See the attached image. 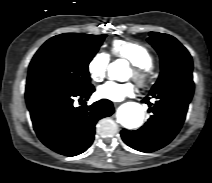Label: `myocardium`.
<instances>
[{"label":"myocardium","mask_w":212,"mask_h":183,"mask_svg":"<svg viewBox=\"0 0 212 183\" xmlns=\"http://www.w3.org/2000/svg\"><path fill=\"white\" fill-rule=\"evenodd\" d=\"M132 73H133L134 80L140 86H144L147 83V81H148V78L150 76L151 70L148 67H142V66L133 64Z\"/></svg>","instance_id":"myocardium-1"}]
</instances>
